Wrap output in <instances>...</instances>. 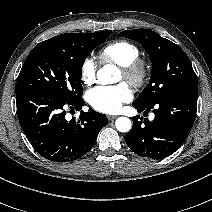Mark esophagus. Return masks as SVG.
Returning <instances> with one entry per match:
<instances>
[{
  "label": "esophagus",
  "instance_id": "esophagus-1",
  "mask_svg": "<svg viewBox=\"0 0 212 212\" xmlns=\"http://www.w3.org/2000/svg\"><path fill=\"white\" fill-rule=\"evenodd\" d=\"M116 118H117V116H114V115H109V116H108V119H109L110 121L115 120Z\"/></svg>",
  "mask_w": 212,
  "mask_h": 212
}]
</instances>
